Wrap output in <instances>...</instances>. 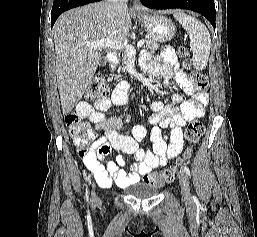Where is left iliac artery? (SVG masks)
<instances>
[{
	"label": "left iliac artery",
	"mask_w": 257,
	"mask_h": 237,
	"mask_svg": "<svg viewBox=\"0 0 257 237\" xmlns=\"http://www.w3.org/2000/svg\"><path fill=\"white\" fill-rule=\"evenodd\" d=\"M183 169H184V172H185L188 176H190V170H189V168H188L186 165H184Z\"/></svg>",
	"instance_id": "obj_1"
}]
</instances>
